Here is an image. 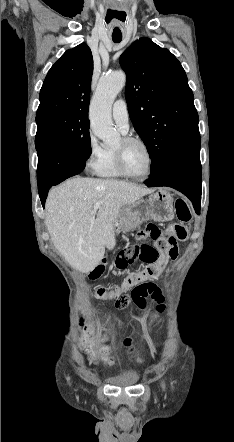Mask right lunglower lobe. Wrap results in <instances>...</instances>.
<instances>
[{"mask_svg": "<svg viewBox=\"0 0 234 442\" xmlns=\"http://www.w3.org/2000/svg\"><path fill=\"white\" fill-rule=\"evenodd\" d=\"M37 182L42 206L44 208L48 190L83 171L86 159L74 150L64 147L43 148L37 151Z\"/></svg>", "mask_w": 234, "mask_h": 442, "instance_id": "obj_1", "label": "right lung lower lobe"}]
</instances>
